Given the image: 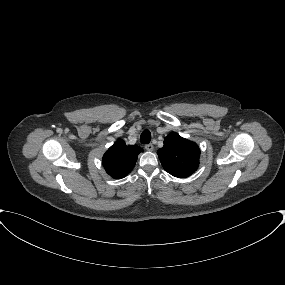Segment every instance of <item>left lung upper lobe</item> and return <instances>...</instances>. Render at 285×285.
<instances>
[{"instance_id":"obj_1","label":"left lung upper lobe","mask_w":285,"mask_h":285,"mask_svg":"<svg viewBox=\"0 0 285 285\" xmlns=\"http://www.w3.org/2000/svg\"><path fill=\"white\" fill-rule=\"evenodd\" d=\"M157 154L163 168L178 178L190 176L199 166L198 145L175 132L164 138V146L157 151Z\"/></svg>"}]
</instances>
